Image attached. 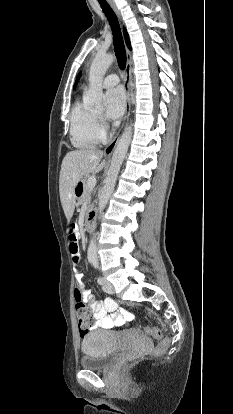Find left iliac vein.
Returning a JSON list of instances; mask_svg holds the SVG:
<instances>
[{
	"label": "left iliac vein",
	"instance_id": "1",
	"mask_svg": "<svg viewBox=\"0 0 233 414\" xmlns=\"http://www.w3.org/2000/svg\"><path fill=\"white\" fill-rule=\"evenodd\" d=\"M102 288L106 293H109V294L114 293L113 285L109 281H107L106 279H104V283L102 285Z\"/></svg>",
	"mask_w": 233,
	"mask_h": 414
}]
</instances>
